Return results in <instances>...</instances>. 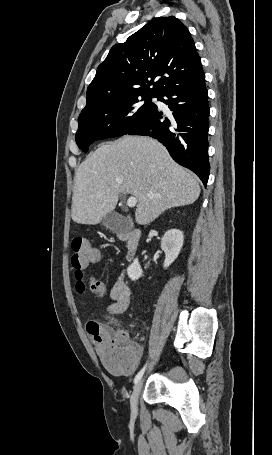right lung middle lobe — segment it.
Returning a JSON list of instances; mask_svg holds the SVG:
<instances>
[{
    "instance_id": "right-lung-middle-lobe-1",
    "label": "right lung middle lobe",
    "mask_w": 272,
    "mask_h": 455,
    "mask_svg": "<svg viewBox=\"0 0 272 455\" xmlns=\"http://www.w3.org/2000/svg\"><path fill=\"white\" fill-rule=\"evenodd\" d=\"M159 96L156 94L130 96L81 113L76 133L78 147L87 152L89 145L96 140L127 134L157 109L151 98L159 99Z\"/></svg>"
}]
</instances>
